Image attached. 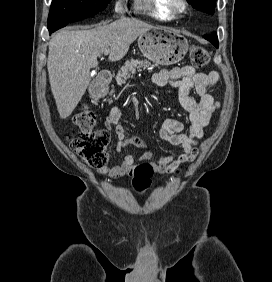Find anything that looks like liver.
<instances>
[{
    "label": "liver",
    "instance_id": "liver-1",
    "mask_svg": "<svg viewBox=\"0 0 272 282\" xmlns=\"http://www.w3.org/2000/svg\"><path fill=\"white\" fill-rule=\"evenodd\" d=\"M152 28L144 21L122 17L89 30L56 33L49 42L47 69L60 117H69L85 94L97 57L109 49L110 61L122 59L136 38Z\"/></svg>",
    "mask_w": 272,
    "mask_h": 282
}]
</instances>
